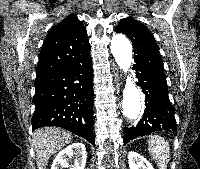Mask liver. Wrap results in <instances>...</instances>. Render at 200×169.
<instances>
[{
  "instance_id": "obj_1",
  "label": "liver",
  "mask_w": 200,
  "mask_h": 169,
  "mask_svg": "<svg viewBox=\"0 0 200 169\" xmlns=\"http://www.w3.org/2000/svg\"><path fill=\"white\" fill-rule=\"evenodd\" d=\"M72 140L70 132L58 127L37 129L32 135V145L38 169H46L49 158Z\"/></svg>"
}]
</instances>
